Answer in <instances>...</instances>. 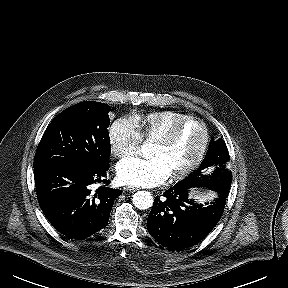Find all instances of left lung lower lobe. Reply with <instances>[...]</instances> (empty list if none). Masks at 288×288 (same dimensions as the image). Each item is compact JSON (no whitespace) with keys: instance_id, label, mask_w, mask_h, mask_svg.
<instances>
[{"instance_id":"0a47b994","label":"left lung lower lobe","mask_w":288,"mask_h":288,"mask_svg":"<svg viewBox=\"0 0 288 288\" xmlns=\"http://www.w3.org/2000/svg\"><path fill=\"white\" fill-rule=\"evenodd\" d=\"M190 185L176 184L156 197L147 220V229L158 243L170 250H183L203 240L220 220L228 195L203 206L189 199ZM213 190V189H212Z\"/></svg>"}]
</instances>
